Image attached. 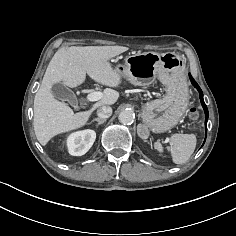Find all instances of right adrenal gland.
<instances>
[{
  "label": "right adrenal gland",
  "mask_w": 236,
  "mask_h": 236,
  "mask_svg": "<svg viewBox=\"0 0 236 236\" xmlns=\"http://www.w3.org/2000/svg\"><path fill=\"white\" fill-rule=\"evenodd\" d=\"M94 121H97V122H98V125H100V124H103L104 122H106V119L95 118V119L93 120V122H94Z\"/></svg>",
  "instance_id": "1"
}]
</instances>
